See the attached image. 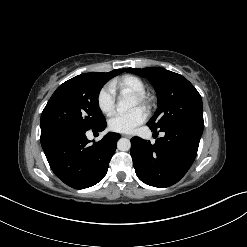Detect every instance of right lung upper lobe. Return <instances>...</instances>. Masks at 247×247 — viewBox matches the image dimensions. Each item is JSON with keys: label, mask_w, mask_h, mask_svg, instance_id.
<instances>
[{"label": "right lung upper lobe", "mask_w": 247, "mask_h": 247, "mask_svg": "<svg viewBox=\"0 0 247 247\" xmlns=\"http://www.w3.org/2000/svg\"><path fill=\"white\" fill-rule=\"evenodd\" d=\"M122 72H123L122 69H115V70H113V71H111V72H107V73L102 72V74H103L104 76H108V77L113 78L114 76H116V75H118V74H120V73H122Z\"/></svg>", "instance_id": "obj_1"}]
</instances>
